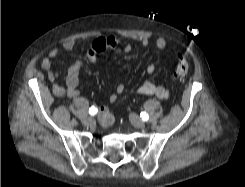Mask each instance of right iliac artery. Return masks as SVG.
<instances>
[{"label": "right iliac artery", "instance_id": "right-iliac-artery-1", "mask_svg": "<svg viewBox=\"0 0 245 187\" xmlns=\"http://www.w3.org/2000/svg\"><path fill=\"white\" fill-rule=\"evenodd\" d=\"M97 112L98 109L96 107L92 106L91 108H89L90 115L94 116Z\"/></svg>", "mask_w": 245, "mask_h": 187}]
</instances>
